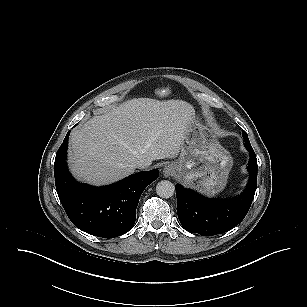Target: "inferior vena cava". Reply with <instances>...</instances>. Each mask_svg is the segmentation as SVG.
<instances>
[{
	"instance_id": "obj_1",
	"label": "inferior vena cava",
	"mask_w": 307,
	"mask_h": 307,
	"mask_svg": "<svg viewBox=\"0 0 307 307\" xmlns=\"http://www.w3.org/2000/svg\"><path fill=\"white\" fill-rule=\"evenodd\" d=\"M134 166H135L136 168L144 169V168H147L149 165H148V163H146L145 161L139 160V161H136V162H135Z\"/></svg>"
}]
</instances>
